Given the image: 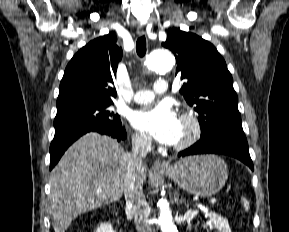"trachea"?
Instances as JSON below:
<instances>
[{
    "label": "trachea",
    "mask_w": 289,
    "mask_h": 232,
    "mask_svg": "<svg viewBox=\"0 0 289 232\" xmlns=\"http://www.w3.org/2000/svg\"><path fill=\"white\" fill-rule=\"evenodd\" d=\"M136 52L139 57H144L146 54V38L141 36L137 39L136 42Z\"/></svg>",
    "instance_id": "3493384b"
}]
</instances>
